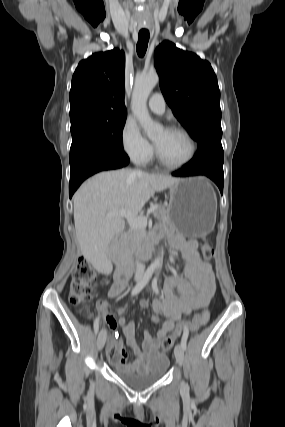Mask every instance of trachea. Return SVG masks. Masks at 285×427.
Segmentation results:
<instances>
[{
  "mask_svg": "<svg viewBox=\"0 0 285 427\" xmlns=\"http://www.w3.org/2000/svg\"><path fill=\"white\" fill-rule=\"evenodd\" d=\"M149 42V31L142 30L138 35V43L136 45L137 54L139 57H143L146 53Z\"/></svg>",
  "mask_w": 285,
  "mask_h": 427,
  "instance_id": "3493384b",
  "label": "trachea"
}]
</instances>
